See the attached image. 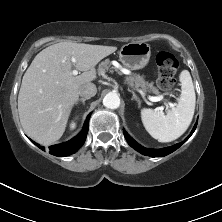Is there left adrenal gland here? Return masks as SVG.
I'll list each match as a JSON object with an SVG mask.
<instances>
[{
	"mask_svg": "<svg viewBox=\"0 0 222 222\" xmlns=\"http://www.w3.org/2000/svg\"><path fill=\"white\" fill-rule=\"evenodd\" d=\"M128 91L132 93V98H131V100L137 101L138 105H140L141 101H140V99L138 98V96L135 94V92L132 91V90H130V89H128Z\"/></svg>",
	"mask_w": 222,
	"mask_h": 222,
	"instance_id": "1",
	"label": "left adrenal gland"
}]
</instances>
